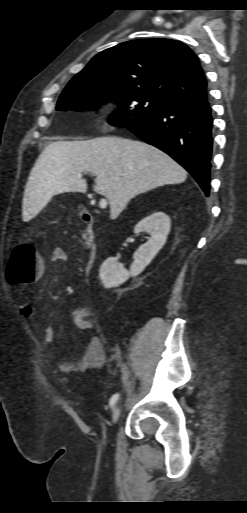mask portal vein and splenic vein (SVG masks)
I'll list each match as a JSON object with an SVG mask.
<instances>
[{
  "mask_svg": "<svg viewBox=\"0 0 247 513\" xmlns=\"http://www.w3.org/2000/svg\"><path fill=\"white\" fill-rule=\"evenodd\" d=\"M78 176L80 177V176H81V173H79V174H78ZM106 206H107V201H106V199L102 198V199L100 200V202H99V207H100V208H102V209H104V208H106Z\"/></svg>",
  "mask_w": 247,
  "mask_h": 513,
  "instance_id": "obj_1",
  "label": "portal vein and splenic vein"
}]
</instances>
